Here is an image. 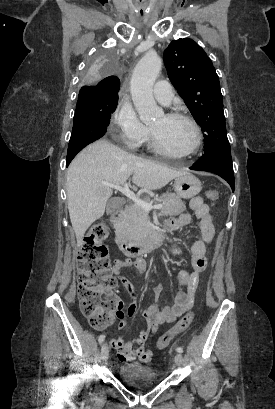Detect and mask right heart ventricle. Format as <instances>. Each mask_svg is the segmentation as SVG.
<instances>
[{
    "instance_id": "1",
    "label": "right heart ventricle",
    "mask_w": 275,
    "mask_h": 409,
    "mask_svg": "<svg viewBox=\"0 0 275 409\" xmlns=\"http://www.w3.org/2000/svg\"><path fill=\"white\" fill-rule=\"evenodd\" d=\"M145 141L148 143V146L150 147V146H151V144H150L149 134H148V136H147V138H146V140H145Z\"/></svg>"
}]
</instances>
